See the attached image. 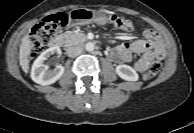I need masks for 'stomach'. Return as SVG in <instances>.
<instances>
[{
    "mask_svg": "<svg viewBox=\"0 0 194 133\" xmlns=\"http://www.w3.org/2000/svg\"><path fill=\"white\" fill-rule=\"evenodd\" d=\"M108 22L106 13L101 11H93L89 9H75L70 14V25H86L90 23H97L104 25Z\"/></svg>",
    "mask_w": 194,
    "mask_h": 133,
    "instance_id": "stomach-1",
    "label": "stomach"
}]
</instances>
